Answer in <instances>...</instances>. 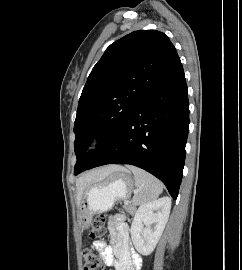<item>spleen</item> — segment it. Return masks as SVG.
Instances as JSON below:
<instances>
[{"label": "spleen", "instance_id": "3e777b00", "mask_svg": "<svg viewBox=\"0 0 242 270\" xmlns=\"http://www.w3.org/2000/svg\"><path fill=\"white\" fill-rule=\"evenodd\" d=\"M128 169L134 175L136 189L132 202L135 205H143L159 197L163 191V185L158 179L138 167L128 166Z\"/></svg>", "mask_w": 242, "mask_h": 270}]
</instances>
